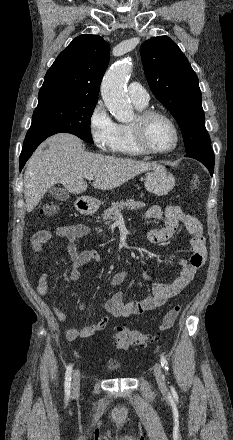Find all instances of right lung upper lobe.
Here are the masks:
<instances>
[{
    "label": "right lung upper lobe",
    "mask_w": 233,
    "mask_h": 440,
    "mask_svg": "<svg viewBox=\"0 0 233 440\" xmlns=\"http://www.w3.org/2000/svg\"><path fill=\"white\" fill-rule=\"evenodd\" d=\"M110 46L98 35L76 37L47 71L38 103L54 98L97 100Z\"/></svg>",
    "instance_id": "obj_1"
}]
</instances>
